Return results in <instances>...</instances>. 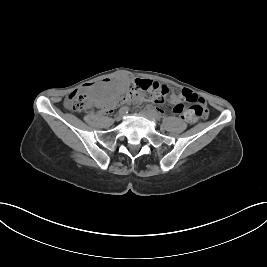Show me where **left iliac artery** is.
<instances>
[{"label": "left iliac artery", "mask_w": 267, "mask_h": 267, "mask_svg": "<svg viewBox=\"0 0 267 267\" xmlns=\"http://www.w3.org/2000/svg\"><path fill=\"white\" fill-rule=\"evenodd\" d=\"M147 111L156 119V120H160L161 119V115L154 109L148 107Z\"/></svg>", "instance_id": "left-iliac-artery-1"}]
</instances>
